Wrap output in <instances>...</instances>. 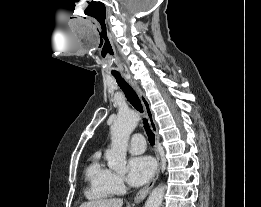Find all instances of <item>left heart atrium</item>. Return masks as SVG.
Segmentation results:
<instances>
[{
  "instance_id": "obj_1",
  "label": "left heart atrium",
  "mask_w": 261,
  "mask_h": 207,
  "mask_svg": "<svg viewBox=\"0 0 261 207\" xmlns=\"http://www.w3.org/2000/svg\"><path fill=\"white\" fill-rule=\"evenodd\" d=\"M127 178L131 185L140 186L149 181L155 171V162L149 156H136L128 161Z\"/></svg>"
}]
</instances>
